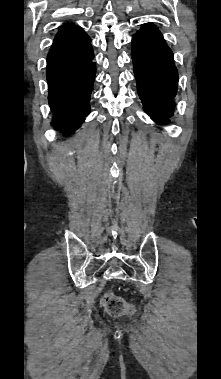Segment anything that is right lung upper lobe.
<instances>
[{"label":"right lung upper lobe","mask_w":221,"mask_h":379,"mask_svg":"<svg viewBox=\"0 0 221 379\" xmlns=\"http://www.w3.org/2000/svg\"><path fill=\"white\" fill-rule=\"evenodd\" d=\"M74 26H76V25H73V24H67V25H64V26L59 30L58 34L64 32V31H67V30H69L70 28H72V27H74Z\"/></svg>","instance_id":"1"}]
</instances>
